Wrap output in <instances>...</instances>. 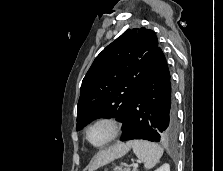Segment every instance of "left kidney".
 <instances>
[{
    "label": "left kidney",
    "mask_w": 223,
    "mask_h": 171,
    "mask_svg": "<svg viewBox=\"0 0 223 171\" xmlns=\"http://www.w3.org/2000/svg\"><path fill=\"white\" fill-rule=\"evenodd\" d=\"M155 171H170L169 164H164L160 168L156 169Z\"/></svg>",
    "instance_id": "obj_1"
}]
</instances>
